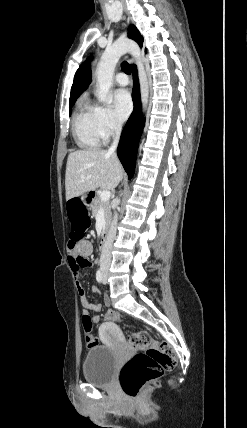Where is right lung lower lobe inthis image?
<instances>
[{
    "label": "right lung lower lobe",
    "instance_id": "right-lung-lower-lobe-1",
    "mask_svg": "<svg viewBox=\"0 0 247 428\" xmlns=\"http://www.w3.org/2000/svg\"><path fill=\"white\" fill-rule=\"evenodd\" d=\"M132 74L135 83L134 91L132 93L134 110L122 131L117 149L118 157L127 172L129 179L132 178L135 170L138 143L144 126V119L141 115L140 91L136 66L132 67Z\"/></svg>",
    "mask_w": 247,
    "mask_h": 428
}]
</instances>
